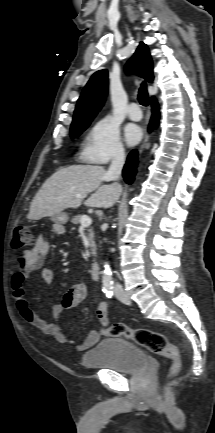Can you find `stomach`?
I'll return each mask as SVG.
<instances>
[{
	"label": "stomach",
	"mask_w": 215,
	"mask_h": 433,
	"mask_svg": "<svg viewBox=\"0 0 215 433\" xmlns=\"http://www.w3.org/2000/svg\"><path fill=\"white\" fill-rule=\"evenodd\" d=\"M52 220L56 223H59V224H66L68 221V215L64 212H61L57 215H54L52 217Z\"/></svg>",
	"instance_id": "0dacf381"
}]
</instances>
